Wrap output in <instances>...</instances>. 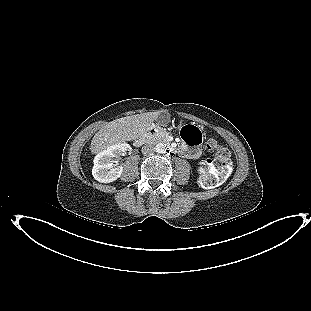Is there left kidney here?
<instances>
[{"instance_id":"left-kidney-1","label":"left kidney","mask_w":311,"mask_h":311,"mask_svg":"<svg viewBox=\"0 0 311 311\" xmlns=\"http://www.w3.org/2000/svg\"><path fill=\"white\" fill-rule=\"evenodd\" d=\"M198 171H199L200 174H205L206 173V170L203 167L198 168Z\"/></svg>"}]
</instances>
